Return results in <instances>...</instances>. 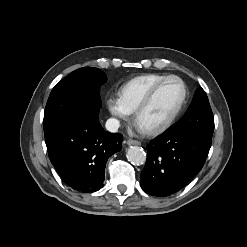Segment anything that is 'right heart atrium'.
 Masks as SVG:
<instances>
[{
	"mask_svg": "<svg viewBox=\"0 0 247 247\" xmlns=\"http://www.w3.org/2000/svg\"><path fill=\"white\" fill-rule=\"evenodd\" d=\"M106 106L110 114L119 120H126L130 114L123 107L119 97L110 96L106 100Z\"/></svg>",
	"mask_w": 247,
	"mask_h": 247,
	"instance_id": "right-heart-atrium-1",
	"label": "right heart atrium"
}]
</instances>
